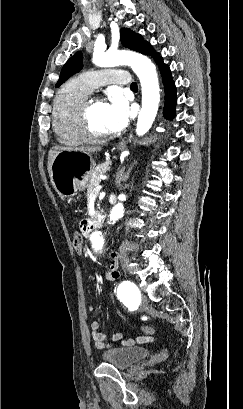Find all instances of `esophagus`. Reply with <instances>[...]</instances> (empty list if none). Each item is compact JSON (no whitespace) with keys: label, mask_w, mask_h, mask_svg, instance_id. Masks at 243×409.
I'll return each mask as SVG.
<instances>
[{"label":"esophagus","mask_w":243,"mask_h":409,"mask_svg":"<svg viewBox=\"0 0 243 409\" xmlns=\"http://www.w3.org/2000/svg\"><path fill=\"white\" fill-rule=\"evenodd\" d=\"M123 146H124V143H120V144H119V147H123Z\"/></svg>","instance_id":"34e87169"}]
</instances>
